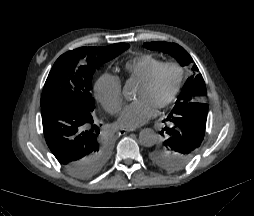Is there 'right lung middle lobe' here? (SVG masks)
<instances>
[{"mask_svg": "<svg viewBox=\"0 0 254 216\" xmlns=\"http://www.w3.org/2000/svg\"><path fill=\"white\" fill-rule=\"evenodd\" d=\"M127 48L129 44L118 43L106 47H82L61 55L45 82L41 107L51 102H64L80 111L92 113L94 102L90 90L95 69ZM95 133H100L97 126ZM99 139L102 149L98 157V170H101L110 157L111 145L103 135ZM72 175L76 176V173Z\"/></svg>", "mask_w": 254, "mask_h": 216, "instance_id": "dd1d6c3e", "label": "right lung middle lobe"}]
</instances>
